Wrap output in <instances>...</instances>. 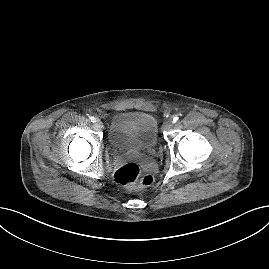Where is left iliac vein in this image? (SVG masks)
<instances>
[{
  "label": "left iliac vein",
  "instance_id": "obj_1",
  "mask_svg": "<svg viewBox=\"0 0 269 269\" xmlns=\"http://www.w3.org/2000/svg\"><path fill=\"white\" fill-rule=\"evenodd\" d=\"M172 125H173V122L168 120V121L164 122L163 129L168 131L172 128Z\"/></svg>",
  "mask_w": 269,
  "mask_h": 269
}]
</instances>
